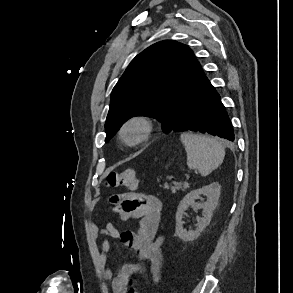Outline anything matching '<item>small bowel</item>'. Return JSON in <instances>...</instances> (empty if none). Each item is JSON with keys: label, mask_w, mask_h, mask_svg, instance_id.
I'll return each mask as SVG.
<instances>
[{"label": "small bowel", "mask_w": 293, "mask_h": 293, "mask_svg": "<svg viewBox=\"0 0 293 293\" xmlns=\"http://www.w3.org/2000/svg\"><path fill=\"white\" fill-rule=\"evenodd\" d=\"M112 210L118 213L122 220H139L136 232L118 231L110 222L100 228L91 222L90 229L95 243L101 240V250L104 255L111 252L110 238L119 237L122 244L131 248L137 259L150 262V276L153 282H158L162 266L161 245L163 237L158 233L162 203L159 198L146 193L129 191L113 195L110 199ZM137 275L141 281L147 277L145 268L123 263L116 269H108L107 277L111 280L112 293H127L129 278Z\"/></svg>", "instance_id": "obj_1"}]
</instances>
